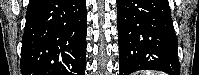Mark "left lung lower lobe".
Here are the masks:
<instances>
[{
	"label": "left lung lower lobe",
	"instance_id": "1",
	"mask_svg": "<svg viewBox=\"0 0 199 75\" xmlns=\"http://www.w3.org/2000/svg\"><path fill=\"white\" fill-rule=\"evenodd\" d=\"M120 75L160 70L180 75L168 0H117Z\"/></svg>",
	"mask_w": 199,
	"mask_h": 75
}]
</instances>
